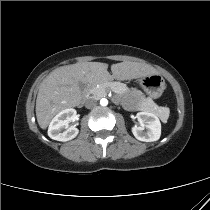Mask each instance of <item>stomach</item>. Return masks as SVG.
Here are the masks:
<instances>
[{
  "label": "stomach",
  "mask_w": 210,
  "mask_h": 210,
  "mask_svg": "<svg viewBox=\"0 0 210 210\" xmlns=\"http://www.w3.org/2000/svg\"><path fill=\"white\" fill-rule=\"evenodd\" d=\"M139 83L143 90L151 97L158 98L162 95L166 88L163 77L159 74H151L139 79Z\"/></svg>",
  "instance_id": "stomach-1"
}]
</instances>
